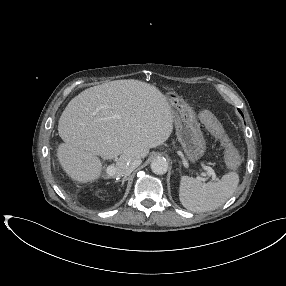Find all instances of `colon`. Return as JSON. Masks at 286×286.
Wrapping results in <instances>:
<instances>
[{
  "label": "colon",
  "instance_id": "1",
  "mask_svg": "<svg viewBox=\"0 0 286 286\" xmlns=\"http://www.w3.org/2000/svg\"><path fill=\"white\" fill-rule=\"evenodd\" d=\"M200 119L205 125V127L211 132V134L219 141H221V143L224 145L228 168H236L239 164L238 153L235 148L230 144L217 118L210 111H202L200 113Z\"/></svg>",
  "mask_w": 286,
  "mask_h": 286
}]
</instances>
